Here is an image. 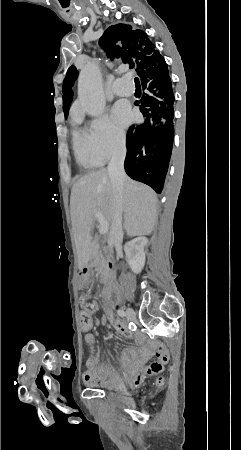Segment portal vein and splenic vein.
Segmentation results:
<instances>
[{"label":"portal vein and splenic vein","instance_id":"portal-vein-and-splenic-vein-1","mask_svg":"<svg viewBox=\"0 0 241 450\" xmlns=\"http://www.w3.org/2000/svg\"><path fill=\"white\" fill-rule=\"evenodd\" d=\"M108 226L109 224H107L105 220H103V222H100L98 226L100 234H106V232H108Z\"/></svg>","mask_w":241,"mask_h":450}]
</instances>
